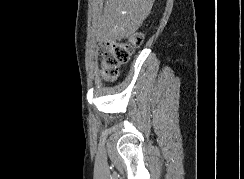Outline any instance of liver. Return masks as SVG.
<instances>
[{"instance_id": "6515ba94", "label": "liver", "mask_w": 244, "mask_h": 179, "mask_svg": "<svg viewBox=\"0 0 244 179\" xmlns=\"http://www.w3.org/2000/svg\"><path fill=\"white\" fill-rule=\"evenodd\" d=\"M152 8V0H106L104 14L98 18V42H112L134 36Z\"/></svg>"}]
</instances>
